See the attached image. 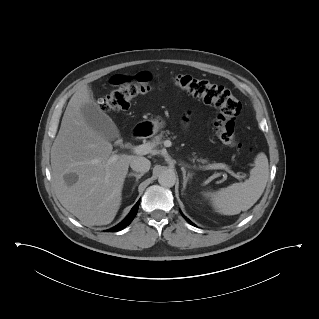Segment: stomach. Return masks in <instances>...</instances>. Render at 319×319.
Masks as SVG:
<instances>
[{
  "mask_svg": "<svg viewBox=\"0 0 319 319\" xmlns=\"http://www.w3.org/2000/svg\"><path fill=\"white\" fill-rule=\"evenodd\" d=\"M149 123L151 124L152 132L154 134L166 125L165 120L161 116H154L149 120Z\"/></svg>",
  "mask_w": 319,
  "mask_h": 319,
  "instance_id": "obj_1",
  "label": "stomach"
}]
</instances>
